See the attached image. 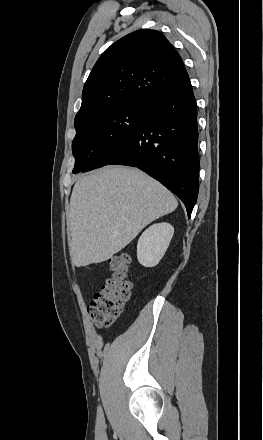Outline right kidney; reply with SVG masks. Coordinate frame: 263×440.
Masks as SVG:
<instances>
[{
  "mask_svg": "<svg viewBox=\"0 0 263 440\" xmlns=\"http://www.w3.org/2000/svg\"><path fill=\"white\" fill-rule=\"evenodd\" d=\"M174 234L168 223L151 225L140 236L137 244V258L141 265L154 267L164 256Z\"/></svg>",
  "mask_w": 263,
  "mask_h": 440,
  "instance_id": "obj_1",
  "label": "right kidney"
}]
</instances>
